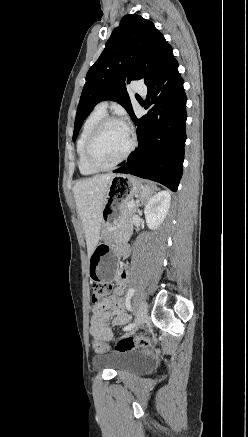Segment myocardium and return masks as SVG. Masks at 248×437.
Returning a JSON list of instances; mask_svg holds the SVG:
<instances>
[{
    "label": "myocardium",
    "mask_w": 248,
    "mask_h": 437,
    "mask_svg": "<svg viewBox=\"0 0 248 437\" xmlns=\"http://www.w3.org/2000/svg\"><path fill=\"white\" fill-rule=\"evenodd\" d=\"M111 123H118L121 124L123 126L124 123L116 118V117H111V116H106L104 118H102L93 128L92 132L90 133L86 145H85V159L86 162L88 164L89 167H91L92 169L96 170V171H108L111 170L113 168H115L116 166H118L119 164H121L123 161H125L128 156L132 153V151L135 149L136 146V140L134 135L132 134V132L128 129V133H129V145L127 147V149L125 150V152L121 155V157L119 159H117L115 162H113L110 165H100L99 163H97L93 157V148L95 145V142L97 140V138L99 137L100 133L102 132V130Z\"/></svg>",
    "instance_id": "myocardium-1"
}]
</instances>
